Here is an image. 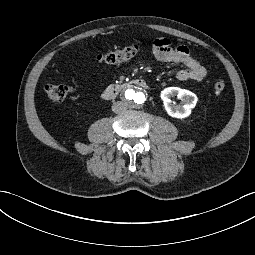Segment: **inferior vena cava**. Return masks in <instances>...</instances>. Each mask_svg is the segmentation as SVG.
I'll list each match as a JSON object with an SVG mask.
<instances>
[{"instance_id": "1", "label": "inferior vena cava", "mask_w": 255, "mask_h": 255, "mask_svg": "<svg viewBox=\"0 0 255 255\" xmlns=\"http://www.w3.org/2000/svg\"><path fill=\"white\" fill-rule=\"evenodd\" d=\"M128 105L125 103V102H122V101H117V102H114L113 105H112V111L114 113H122L123 111H125L127 109Z\"/></svg>"}]
</instances>
